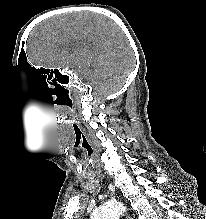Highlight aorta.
Returning <instances> with one entry per match:
<instances>
[{"mask_svg":"<svg viewBox=\"0 0 206 219\" xmlns=\"http://www.w3.org/2000/svg\"><path fill=\"white\" fill-rule=\"evenodd\" d=\"M123 211V206L118 203H108L95 209L90 219H119V215Z\"/></svg>","mask_w":206,"mask_h":219,"instance_id":"aorta-1","label":"aorta"}]
</instances>
